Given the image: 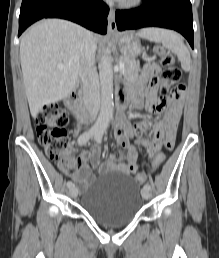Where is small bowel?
Masks as SVG:
<instances>
[{"label": "small bowel", "mask_w": 219, "mask_h": 258, "mask_svg": "<svg viewBox=\"0 0 219 258\" xmlns=\"http://www.w3.org/2000/svg\"><path fill=\"white\" fill-rule=\"evenodd\" d=\"M159 66L155 62H148L143 69L140 80L134 88V99L132 114H137L142 108V92L146 91L147 104L146 108L150 112L160 113L168 107L163 120L154 125V136L152 140H138V144L142 145L148 156L152 159L154 153L158 151L164 144L166 148L173 149L176 137V129L180 119L184 93L180 98L172 96L168 101L161 100L156 95L155 79L159 73ZM121 96L126 97V92L121 91ZM147 120L140 121L132 126L123 114H119L114 122L115 134L122 150L120 158L122 162L117 163L115 157L111 155L100 166V171L119 170L125 174H134L137 171L138 152L135 146H130L133 137L140 135L148 129ZM98 161V148L95 147L91 151L85 150L80 153L74 165L73 179L82 188H86L91 182L92 176L89 169V163L95 165ZM146 177V175L144 176Z\"/></svg>", "instance_id": "small-bowel-1"}]
</instances>
